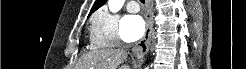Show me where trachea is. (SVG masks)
Returning a JSON list of instances; mask_svg holds the SVG:
<instances>
[{
  "mask_svg": "<svg viewBox=\"0 0 246 69\" xmlns=\"http://www.w3.org/2000/svg\"><path fill=\"white\" fill-rule=\"evenodd\" d=\"M141 1V3H145V0H140Z\"/></svg>",
  "mask_w": 246,
  "mask_h": 69,
  "instance_id": "trachea-1",
  "label": "trachea"
}]
</instances>
